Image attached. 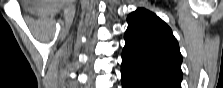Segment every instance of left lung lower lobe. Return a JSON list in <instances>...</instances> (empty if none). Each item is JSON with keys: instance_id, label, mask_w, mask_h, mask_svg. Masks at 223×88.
<instances>
[{"instance_id": "obj_1", "label": "left lung lower lobe", "mask_w": 223, "mask_h": 88, "mask_svg": "<svg viewBox=\"0 0 223 88\" xmlns=\"http://www.w3.org/2000/svg\"><path fill=\"white\" fill-rule=\"evenodd\" d=\"M123 88H181L177 83L121 66Z\"/></svg>"}]
</instances>
